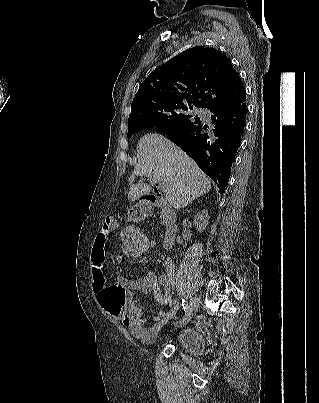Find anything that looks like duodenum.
<instances>
[{"instance_id":"duodenum-1","label":"duodenum","mask_w":319,"mask_h":403,"mask_svg":"<svg viewBox=\"0 0 319 403\" xmlns=\"http://www.w3.org/2000/svg\"><path fill=\"white\" fill-rule=\"evenodd\" d=\"M153 207H159L161 209L165 234L164 246L169 248L172 246L178 231L176 212L165 200L163 193L155 191L142 198V202L136 207V215L140 218H144Z\"/></svg>"}]
</instances>
